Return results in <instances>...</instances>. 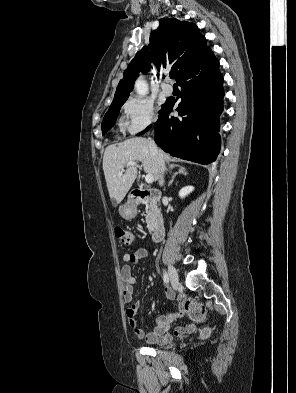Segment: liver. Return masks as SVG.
Segmentation results:
<instances>
[{"label": "liver", "mask_w": 296, "mask_h": 393, "mask_svg": "<svg viewBox=\"0 0 296 393\" xmlns=\"http://www.w3.org/2000/svg\"><path fill=\"white\" fill-rule=\"evenodd\" d=\"M149 140L142 137L127 139L118 145H110L103 156V171L111 199L119 204L131 188L137 177V166H127V162H141L144 171L153 175L155 180L161 179L163 173L157 164L155 155L150 150ZM159 150V149H158ZM164 163L171 157L159 150ZM175 166V165H170ZM126 167V170L124 168Z\"/></svg>", "instance_id": "liver-1"}]
</instances>
